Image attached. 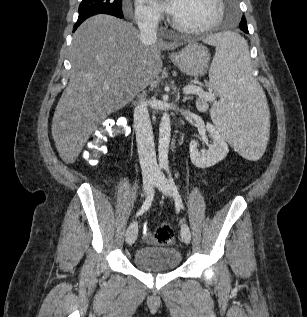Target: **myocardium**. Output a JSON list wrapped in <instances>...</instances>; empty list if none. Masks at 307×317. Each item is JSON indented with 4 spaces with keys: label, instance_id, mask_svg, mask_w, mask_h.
<instances>
[{
    "label": "myocardium",
    "instance_id": "f54148a6",
    "mask_svg": "<svg viewBox=\"0 0 307 317\" xmlns=\"http://www.w3.org/2000/svg\"><path fill=\"white\" fill-rule=\"evenodd\" d=\"M216 5H217V13L213 21L207 25L201 26V27H195V28H190L181 25L178 23L173 17L171 18V25L174 27L176 30L186 33V34H192V35H200V34H205L210 31H212L214 28H216L219 23L222 21L225 13V4L224 0H215Z\"/></svg>",
    "mask_w": 307,
    "mask_h": 317
}]
</instances>
